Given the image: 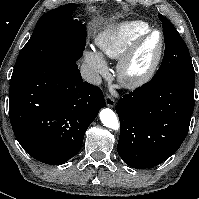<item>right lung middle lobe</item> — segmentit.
Listing matches in <instances>:
<instances>
[{
  "label": "right lung middle lobe",
  "instance_id": "right-lung-middle-lobe-1",
  "mask_svg": "<svg viewBox=\"0 0 199 199\" xmlns=\"http://www.w3.org/2000/svg\"><path fill=\"white\" fill-rule=\"evenodd\" d=\"M78 6L69 3L40 17L31 38L19 54L11 81L54 56H64L73 61L82 56L87 33L85 27L71 16Z\"/></svg>",
  "mask_w": 199,
  "mask_h": 199
}]
</instances>
